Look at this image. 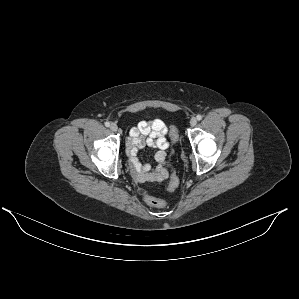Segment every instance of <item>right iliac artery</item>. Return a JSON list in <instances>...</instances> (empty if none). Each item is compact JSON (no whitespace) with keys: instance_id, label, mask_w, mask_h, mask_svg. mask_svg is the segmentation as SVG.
Masks as SVG:
<instances>
[{"instance_id":"right-iliac-artery-1","label":"right iliac artery","mask_w":299,"mask_h":299,"mask_svg":"<svg viewBox=\"0 0 299 299\" xmlns=\"http://www.w3.org/2000/svg\"><path fill=\"white\" fill-rule=\"evenodd\" d=\"M105 126H106V127H109V126H110V123H109V122H105Z\"/></svg>"}]
</instances>
